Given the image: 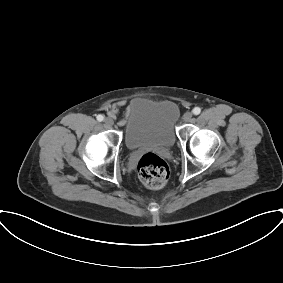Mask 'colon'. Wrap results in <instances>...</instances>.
<instances>
[{
	"instance_id": "5ec220e1",
	"label": "colon",
	"mask_w": 283,
	"mask_h": 283,
	"mask_svg": "<svg viewBox=\"0 0 283 283\" xmlns=\"http://www.w3.org/2000/svg\"><path fill=\"white\" fill-rule=\"evenodd\" d=\"M167 163L157 154H144L138 162V176L141 182L150 189L163 187L169 179Z\"/></svg>"
}]
</instances>
